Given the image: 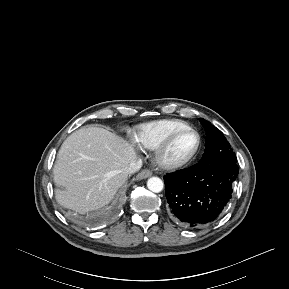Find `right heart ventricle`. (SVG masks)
<instances>
[{
    "instance_id": "1",
    "label": "right heart ventricle",
    "mask_w": 289,
    "mask_h": 289,
    "mask_svg": "<svg viewBox=\"0 0 289 289\" xmlns=\"http://www.w3.org/2000/svg\"><path fill=\"white\" fill-rule=\"evenodd\" d=\"M189 125L181 120H159L139 127L134 135V142L142 149H156L174 132L188 128Z\"/></svg>"
}]
</instances>
